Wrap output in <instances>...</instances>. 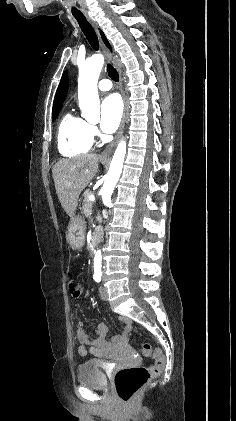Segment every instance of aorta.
Returning <instances> with one entry per match:
<instances>
[{"label": "aorta", "mask_w": 236, "mask_h": 421, "mask_svg": "<svg viewBox=\"0 0 236 421\" xmlns=\"http://www.w3.org/2000/svg\"><path fill=\"white\" fill-rule=\"evenodd\" d=\"M103 64V54H93L79 70V106L82 112L85 104H88V102H95L98 98L97 82ZM125 154L126 140L122 138L117 144L110 168L107 172V178L101 188L103 204H106V206L107 204H111V194L122 172ZM101 267L102 255L101 251H97L94 257V271H96V273H101Z\"/></svg>", "instance_id": "obj_1"}]
</instances>
